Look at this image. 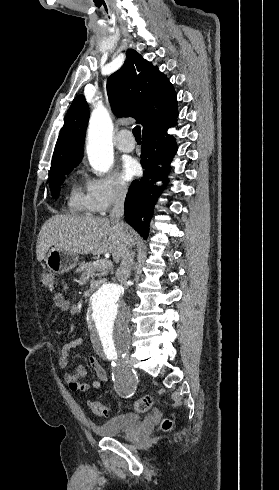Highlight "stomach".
Returning <instances> with one entry per match:
<instances>
[{
    "instance_id": "stomach-1",
    "label": "stomach",
    "mask_w": 279,
    "mask_h": 490,
    "mask_svg": "<svg viewBox=\"0 0 279 490\" xmlns=\"http://www.w3.org/2000/svg\"><path fill=\"white\" fill-rule=\"evenodd\" d=\"M79 256L77 254H72L68 250H63V248H51L49 250L45 262L54 274H65L69 272L72 268L77 266Z\"/></svg>"
}]
</instances>
